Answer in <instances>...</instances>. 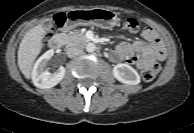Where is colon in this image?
Masks as SVG:
<instances>
[{"label":"colon","instance_id":"obj_1","mask_svg":"<svg viewBox=\"0 0 194 133\" xmlns=\"http://www.w3.org/2000/svg\"><path fill=\"white\" fill-rule=\"evenodd\" d=\"M65 22L64 16H58L55 19V25H50L47 29V38L49 35H51L52 31L54 30L55 26L61 27ZM123 27L131 32H136L139 29V24L136 19L128 18L123 21ZM160 66L158 64L153 65L151 68L145 69L142 71V78L144 81H151L155 78L157 73L159 72Z\"/></svg>","mask_w":194,"mask_h":133}]
</instances>
